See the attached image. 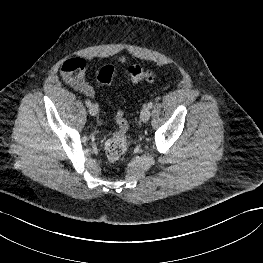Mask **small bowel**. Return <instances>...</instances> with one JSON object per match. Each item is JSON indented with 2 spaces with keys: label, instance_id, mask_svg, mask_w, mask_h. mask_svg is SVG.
Listing matches in <instances>:
<instances>
[{
  "label": "small bowel",
  "instance_id": "1",
  "mask_svg": "<svg viewBox=\"0 0 263 263\" xmlns=\"http://www.w3.org/2000/svg\"><path fill=\"white\" fill-rule=\"evenodd\" d=\"M86 62L82 58H70L61 67V77L65 83L88 97L94 96V88L85 78Z\"/></svg>",
  "mask_w": 263,
  "mask_h": 263
}]
</instances>
